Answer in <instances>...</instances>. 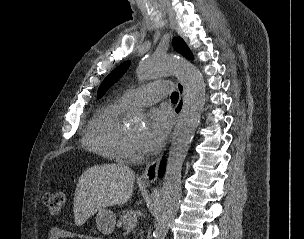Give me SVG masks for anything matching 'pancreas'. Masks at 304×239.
I'll use <instances>...</instances> for the list:
<instances>
[{"instance_id": "obj_1", "label": "pancreas", "mask_w": 304, "mask_h": 239, "mask_svg": "<svg viewBox=\"0 0 304 239\" xmlns=\"http://www.w3.org/2000/svg\"><path fill=\"white\" fill-rule=\"evenodd\" d=\"M136 219V212L133 210H124L122 215H120L117 226L128 228V225L131 221Z\"/></svg>"}]
</instances>
